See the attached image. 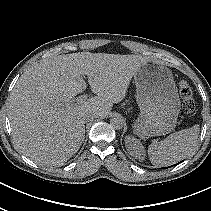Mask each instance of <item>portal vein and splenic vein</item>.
Returning a JSON list of instances; mask_svg holds the SVG:
<instances>
[{
    "mask_svg": "<svg viewBox=\"0 0 211 211\" xmlns=\"http://www.w3.org/2000/svg\"><path fill=\"white\" fill-rule=\"evenodd\" d=\"M86 99H87V95H81V96H79V97H77V98L75 99V102H76V103H74V104H81V103H83Z\"/></svg>",
    "mask_w": 211,
    "mask_h": 211,
    "instance_id": "1",
    "label": "portal vein and splenic vein"
}]
</instances>
